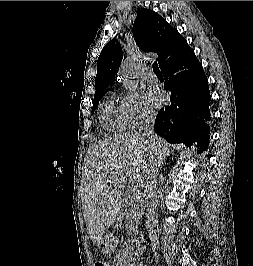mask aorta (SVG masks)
Returning <instances> with one entry per match:
<instances>
[{
  "instance_id": "aorta-1",
  "label": "aorta",
  "mask_w": 253,
  "mask_h": 266,
  "mask_svg": "<svg viewBox=\"0 0 253 266\" xmlns=\"http://www.w3.org/2000/svg\"><path fill=\"white\" fill-rule=\"evenodd\" d=\"M120 77L125 88L133 91L138 87V80L136 78L135 63L127 59L120 67Z\"/></svg>"
}]
</instances>
